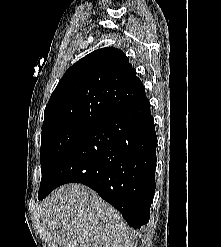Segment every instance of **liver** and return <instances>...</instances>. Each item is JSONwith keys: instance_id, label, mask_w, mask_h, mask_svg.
Returning <instances> with one entry per match:
<instances>
[{"instance_id": "6515ba94", "label": "liver", "mask_w": 221, "mask_h": 247, "mask_svg": "<svg viewBox=\"0 0 221 247\" xmlns=\"http://www.w3.org/2000/svg\"><path fill=\"white\" fill-rule=\"evenodd\" d=\"M41 214L59 247H137L119 212L86 186H61L43 200Z\"/></svg>"}]
</instances>
